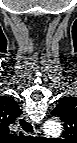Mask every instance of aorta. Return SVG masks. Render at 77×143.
Wrapping results in <instances>:
<instances>
[{"label":"aorta","instance_id":"762f6f07","mask_svg":"<svg viewBox=\"0 0 77 143\" xmlns=\"http://www.w3.org/2000/svg\"><path fill=\"white\" fill-rule=\"evenodd\" d=\"M44 132L48 135L61 133V124L55 121H47L44 126Z\"/></svg>","mask_w":77,"mask_h":143}]
</instances>
